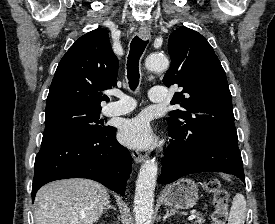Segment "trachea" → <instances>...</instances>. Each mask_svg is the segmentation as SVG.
<instances>
[{
	"mask_svg": "<svg viewBox=\"0 0 275 224\" xmlns=\"http://www.w3.org/2000/svg\"><path fill=\"white\" fill-rule=\"evenodd\" d=\"M147 44L148 41L142 40L138 36H135L130 44V52L127 62V78L132 90H135L139 84V59Z\"/></svg>",
	"mask_w": 275,
	"mask_h": 224,
	"instance_id": "3493384b",
	"label": "trachea"
}]
</instances>
